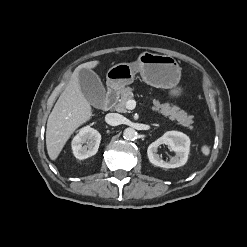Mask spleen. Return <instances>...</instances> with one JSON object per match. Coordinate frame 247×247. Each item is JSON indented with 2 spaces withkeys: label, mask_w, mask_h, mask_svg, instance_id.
<instances>
[{
  "label": "spleen",
  "mask_w": 247,
  "mask_h": 247,
  "mask_svg": "<svg viewBox=\"0 0 247 247\" xmlns=\"http://www.w3.org/2000/svg\"><path fill=\"white\" fill-rule=\"evenodd\" d=\"M201 152L204 156H208L210 154V147L208 145H203L201 147Z\"/></svg>",
  "instance_id": "obj_1"
}]
</instances>
